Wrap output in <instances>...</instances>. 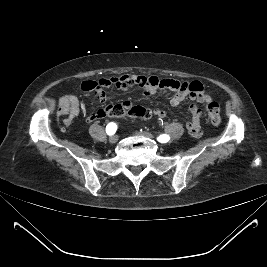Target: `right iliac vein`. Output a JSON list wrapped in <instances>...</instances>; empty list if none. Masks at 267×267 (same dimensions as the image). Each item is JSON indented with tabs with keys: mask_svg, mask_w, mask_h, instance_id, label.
<instances>
[{
	"mask_svg": "<svg viewBox=\"0 0 267 267\" xmlns=\"http://www.w3.org/2000/svg\"><path fill=\"white\" fill-rule=\"evenodd\" d=\"M117 141H118V136H117V135H112V136H110V138H109V142H110L111 144H115Z\"/></svg>",
	"mask_w": 267,
	"mask_h": 267,
	"instance_id": "63e3f726",
	"label": "right iliac vein"
}]
</instances>
